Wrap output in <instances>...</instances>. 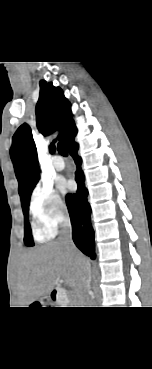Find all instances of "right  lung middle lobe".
<instances>
[{
	"instance_id": "1",
	"label": "right lung middle lobe",
	"mask_w": 152,
	"mask_h": 369,
	"mask_svg": "<svg viewBox=\"0 0 152 369\" xmlns=\"http://www.w3.org/2000/svg\"><path fill=\"white\" fill-rule=\"evenodd\" d=\"M33 188L30 189L29 192L27 193L25 201L21 202L24 217H25L24 243H25L26 246H33L34 245L31 228H30V225H29V222H28L29 201H30V196H31Z\"/></svg>"
}]
</instances>
